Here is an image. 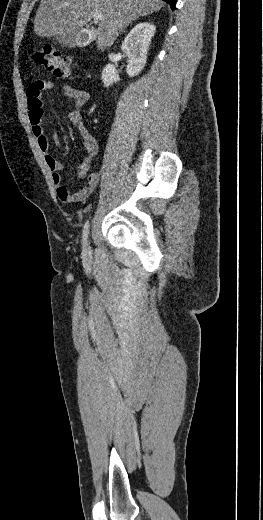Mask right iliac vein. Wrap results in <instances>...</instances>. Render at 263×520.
<instances>
[{
  "label": "right iliac vein",
  "instance_id": "obj_1",
  "mask_svg": "<svg viewBox=\"0 0 263 520\" xmlns=\"http://www.w3.org/2000/svg\"><path fill=\"white\" fill-rule=\"evenodd\" d=\"M88 251H89V247H88L87 245L84 246L83 254H84V255H87Z\"/></svg>",
  "mask_w": 263,
  "mask_h": 520
}]
</instances>
